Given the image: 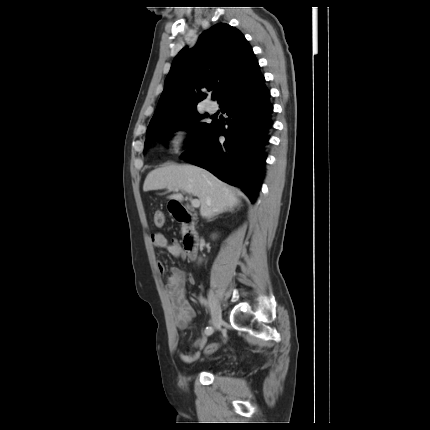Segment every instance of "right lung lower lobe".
<instances>
[{"mask_svg": "<svg viewBox=\"0 0 430 430\" xmlns=\"http://www.w3.org/2000/svg\"><path fill=\"white\" fill-rule=\"evenodd\" d=\"M261 75L245 80L230 92L221 104L228 129L216 122L206 140L193 152L182 157L209 170L219 179L243 189L251 202H255L262 183L268 143V130L273 122V106L269 90ZM223 135L225 141H219Z\"/></svg>", "mask_w": 430, "mask_h": 430, "instance_id": "obj_1", "label": "right lung lower lobe"}]
</instances>
